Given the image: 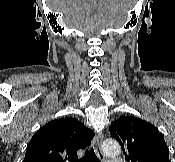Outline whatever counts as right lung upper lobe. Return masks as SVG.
Masks as SVG:
<instances>
[{
    "instance_id": "right-lung-upper-lobe-1",
    "label": "right lung upper lobe",
    "mask_w": 175,
    "mask_h": 162,
    "mask_svg": "<svg viewBox=\"0 0 175 162\" xmlns=\"http://www.w3.org/2000/svg\"><path fill=\"white\" fill-rule=\"evenodd\" d=\"M93 137L94 132L75 118L52 120L33 135L23 162H80L77 151Z\"/></svg>"
}]
</instances>
